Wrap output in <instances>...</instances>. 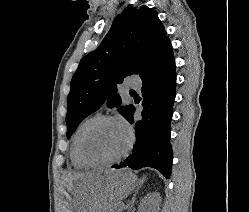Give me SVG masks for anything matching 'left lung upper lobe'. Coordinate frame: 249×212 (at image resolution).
Returning <instances> with one entry per match:
<instances>
[{
    "label": "left lung upper lobe",
    "instance_id": "left-lung-upper-lobe-1",
    "mask_svg": "<svg viewBox=\"0 0 249 212\" xmlns=\"http://www.w3.org/2000/svg\"><path fill=\"white\" fill-rule=\"evenodd\" d=\"M169 42L155 11L147 6L125 8L99 47L81 59L72 77L67 99V137L106 100L108 107H119L124 116L129 106H120L116 84L126 76L144 73Z\"/></svg>",
    "mask_w": 249,
    "mask_h": 212
}]
</instances>
